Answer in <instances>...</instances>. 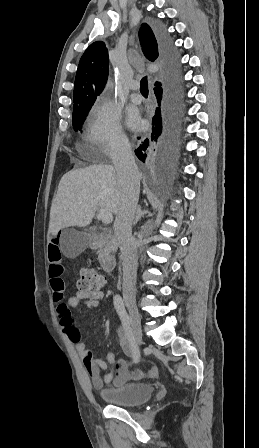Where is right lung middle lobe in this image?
I'll use <instances>...</instances> for the list:
<instances>
[{
	"instance_id": "1",
	"label": "right lung middle lobe",
	"mask_w": 259,
	"mask_h": 448,
	"mask_svg": "<svg viewBox=\"0 0 259 448\" xmlns=\"http://www.w3.org/2000/svg\"><path fill=\"white\" fill-rule=\"evenodd\" d=\"M90 108L73 110L72 124H73L74 130H76V131L81 130V126H82Z\"/></svg>"
}]
</instances>
